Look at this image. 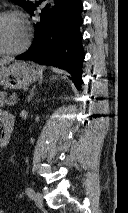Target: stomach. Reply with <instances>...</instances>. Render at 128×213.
Listing matches in <instances>:
<instances>
[{
    "instance_id": "stomach-1",
    "label": "stomach",
    "mask_w": 128,
    "mask_h": 213,
    "mask_svg": "<svg viewBox=\"0 0 128 213\" xmlns=\"http://www.w3.org/2000/svg\"><path fill=\"white\" fill-rule=\"evenodd\" d=\"M37 78L38 72L24 62L0 66V85L6 88L21 89L29 86Z\"/></svg>"
}]
</instances>
